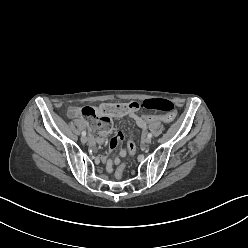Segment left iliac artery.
I'll use <instances>...</instances> for the list:
<instances>
[{"label": "left iliac artery", "mask_w": 248, "mask_h": 248, "mask_svg": "<svg viewBox=\"0 0 248 248\" xmlns=\"http://www.w3.org/2000/svg\"><path fill=\"white\" fill-rule=\"evenodd\" d=\"M147 137L148 138H151L152 137V134L151 133H148Z\"/></svg>", "instance_id": "left-iliac-artery-1"}]
</instances>
